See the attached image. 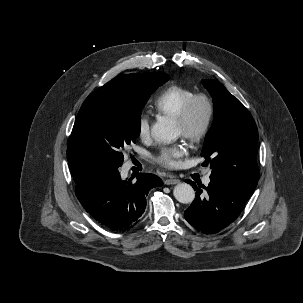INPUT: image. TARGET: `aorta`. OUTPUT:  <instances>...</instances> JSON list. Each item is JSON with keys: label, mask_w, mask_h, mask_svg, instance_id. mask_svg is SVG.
Returning a JSON list of instances; mask_svg holds the SVG:
<instances>
[{"label": "aorta", "mask_w": 303, "mask_h": 303, "mask_svg": "<svg viewBox=\"0 0 303 303\" xmlns=\"http://www.w3.org/2000/svg\"><path fill=\"white\" fill-rule=\"evenodd\" d=\"M179 135L174 122L163 118L152 126V136L161 142L174 141ZM173 195L175 199L182 204H190L195 198V191L191 185L180 183L174 187Z\"/></svg>", "instance_id": "aorta-1"}]
</instances>
